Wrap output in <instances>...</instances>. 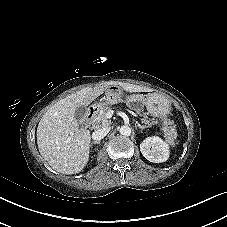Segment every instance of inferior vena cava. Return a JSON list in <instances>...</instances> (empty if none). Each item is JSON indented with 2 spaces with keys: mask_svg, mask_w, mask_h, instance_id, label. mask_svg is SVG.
<instances>
[{
  "mask_svg": "<svg viewBox=\"0 0 227 227\" xmlns=\"http://www.w3.org/2000/svg\"><path fill=\"white\" fill-rule=\"evenodd\" d=\"M110 131V128H102L94 131L92 133V139L95 141H100L102 140Z\"/></svg>",
  "mask_w": 227,
  "mask_h": 227,
  "instance_id": "1",
  "label": "inferior vena cava"
}]
</instances>
